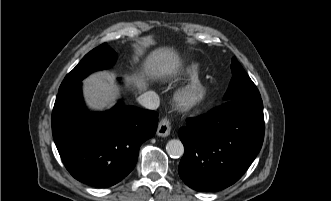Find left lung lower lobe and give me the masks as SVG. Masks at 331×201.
Masks as SVG:
<instances>
[{
    "instance_id": "left-lung-lower-lobe-1",
    "label": "left lung lower lobe",
    "mask_w": 331,
    "mask_h": 201,
    "mask_svg": "<svg viewBox=\"0 0 331 201\" xmlns=\"http://www.w3.org/2000/svg\"><path fill=\"white\" fill-rule=\"evenodd\" d=\"M178 134L185 149L178 171L185 184L201 192L225 189L241 178L262 147V99L226 101L188 119Z\"/></svg>"
}]
</instances>
